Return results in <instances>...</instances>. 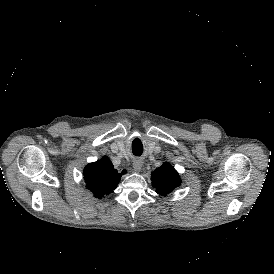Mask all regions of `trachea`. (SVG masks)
<instances>
[{
	"instance_id": "1",
	"label": "trachea",
	"mask_w": 274,
	"mask_h": 274,
	"mask_svg": "<svg viewBox=\"0 0 274 274\" xmlns=\"http://www.w3.org/2000/svg\"><path fill=\"white\" fill-rule=\"evenodd\" d=\"M142 154V152H134V155L136 156H140Z\"/></svg>"
}]
</instances>
